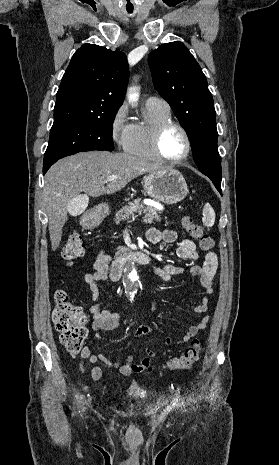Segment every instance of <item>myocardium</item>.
Listing matches in <instances>:
<instances>
[{"label": "myocardium", "instance_id": "1", "mask_svg": "<svg viewBox=\"0 0 279 465\" xmlns=\"http://www.w3.org/2000/svg\"><path fill=\"white\" fill-rule=\"evenodd\" d=\"M172 127L177 128V129H179L181 131V133H182V135H183V137L185 139V143H186V149H185L184 154L181 157H178V158H168L163 153L162 147H161L162 138H163L164 133L169 128H172ZM152 146H153V150H154L155 154L157 155V157L160 160H162V161H164L166 163H170V164H179V163L184 162L185 160L188 159V157H189V155L191 153V150H192L191 138L189 136L188 131L186 130V128L182 124H180L179 122L173 121V120L165 121V122L161 123L156 128V130L154 132V135H153Z\"/></svg>", "mask_w": 279, "mask_h": 465}]
</instances>
